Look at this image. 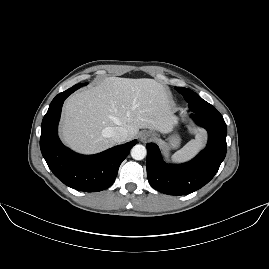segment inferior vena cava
I'll return each mask as SVG.
<instances>
[{"label":"inferior vena cava","instance_id":"obj_1","mask_svg":"<svg viewBox=\"0 0 269 269\" xmlns=\"http://www.w3.org/2000/svg\"><path fill=\"white\" fill-rule=\"evenodd\" d=\"M127 135H128L127 129L123 127H115L112 130L111 137L116 143H121L127 139Z\"/></svg>","mask_w":269,"mask_h":269}]
</instances>
